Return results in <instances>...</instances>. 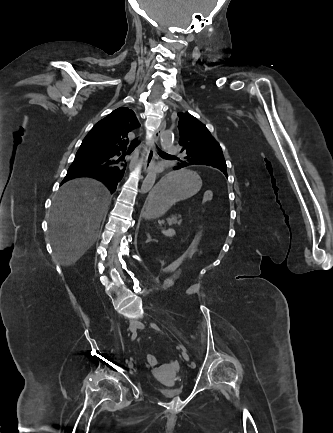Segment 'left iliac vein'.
<instances>
[{"label": "left iliac vein", "instance_id": "left-iliac-vein-1", "mask_svg": "<svg viewBox=\"0 0 333 433\" xmlns=\"http://www.w3.org/2000/svg\"><path fill=\"white\" fill-rule=\"evenodd\" d=\"M135 326H136L137 328H139V329H143V328H144V324H143L142 322H140V321L136 322V323H135ZM182 356H183V358H184L186 361H189V355H188L185 351H182Z\"/></svg>", "mask_w": 333, "mask_h": 433}]
</instances>
